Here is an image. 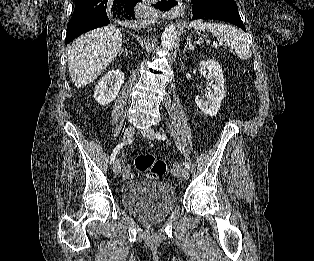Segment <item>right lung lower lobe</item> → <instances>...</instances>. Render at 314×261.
I'll return each instance as SVG.
<instances>
[{
  "mask_svg": "<svg viewBox=\"0 0 314 261\" xmlns=\"http://www.w3.org/2000/svg\"><path fill=\"white\" fill-rule=\"evenodd\" d=\"M141 0H125L115 18L130 20L134 18V6ZM110 8L108 0H75V9L67 26L65 44H69L79 35L110 23L107 12Z\"/></svg>",
  "mask_w": 314,
  "mask_h": 261,
  "instance_id": "1",
  "label": "right lung lower lobe"
}]
</instances>
